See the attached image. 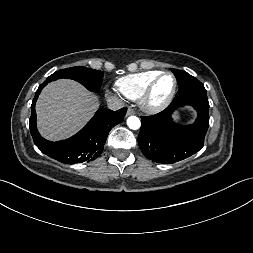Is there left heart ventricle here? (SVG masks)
<instances>
[{"mask_svg": "<svg viewBox=\"0 0 253 253\" xmlns=\"http://www.w3.org/2000/svg\"><path fill=\"white\" fill-rule=\"evenodd\" d=\"M173 87V79L171 76H163L158 83L156 84L151 101L153 103H160L162 102L170 93Z\"/></svg>", "mask_w": 253, "mask_h": 253, "instance_id": "left-heart-ventricle-1", "label": "left heart ventricle"}]
</instances>
